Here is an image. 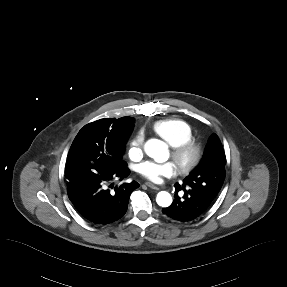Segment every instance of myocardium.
<instances>
[{"instance_id":"1","label":"myocardium","mask_w":287,"mask_h":287,"mask_svg":"<svg viewBox=\"0 0 287 287\" xmlns=\"http://www.w3.org/2000/svg\"><path fill=\"white\" fill-rule=\"evenodd\" d=\"M202 147L196 141H186L172 149V158L182 173L192 171L201 161Z\"/></svg>"}]
</instances>
